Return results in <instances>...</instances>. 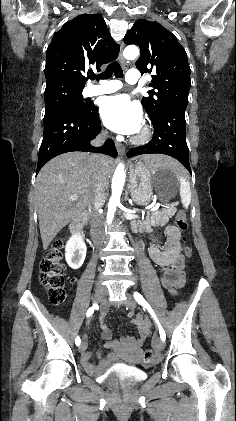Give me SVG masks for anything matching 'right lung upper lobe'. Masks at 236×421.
Masks as SVG:
<instances>
[{"instance_id":"obj_1","label":"right lung upper lobe","mask_w":236,"mask_h":421,"mask_svg":"<svg viewBox=\"0 0 236 421\" xmlns=\"http://www.w3.org/2000/svg\"><path fill=\"white\" fill-rule=\"evenodd\" d=\"M118 52L100 14L79 15L53 36L47 50L46 86L84 88L89 79L86 69L91 65L100 71Z\"/></svg>"}]
</instances>
